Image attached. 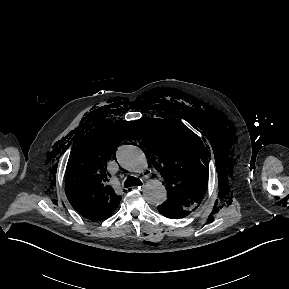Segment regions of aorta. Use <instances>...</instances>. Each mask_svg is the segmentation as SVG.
I'll return each mask as SVG.
<instances>
[{
	"mask_svg": "<svg viewBox=\"0 0 289 289\" xmlns=\"http://www.w3.org/2000/svg\"><path fill=\"white\" fill-rule=\"evenodd\" d=\"M117 161L125 169L135 173H144L149 163L144 152L133 145H123L117 151ZM144 198L147 203L158 206L167 199V191L165 186L158 180H154L146 184L143 191Z\"/></svg>",
	"mask_w": 289,
	"mask_h": 289,
	"instance_id": "aorta-1",
	"label": "aorta"
}]
</instances>
